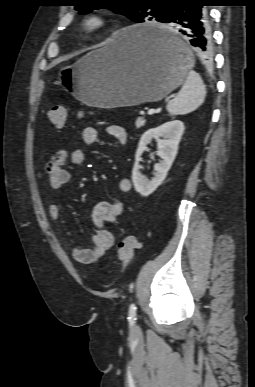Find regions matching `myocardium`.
Wrapping results in <instances>:
<instances>
[{
    "label": "myocardium",
    "instance_id": "obj_1",
    "mask_svg": "<svg viewBox=\"0 0 255 387\" xmlns=\"http://www.w3.org/2000/svg\"><path fill=\"white\" fill-rule=\"evenodd\" d=\"M108 25V19L105 15L97 12L86 13L81 21L83 33L87 35L97 34Z\"/></svg>",
    "mask_w": 255,
    "mask_h": 387
}]
</instances>
